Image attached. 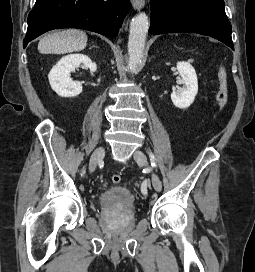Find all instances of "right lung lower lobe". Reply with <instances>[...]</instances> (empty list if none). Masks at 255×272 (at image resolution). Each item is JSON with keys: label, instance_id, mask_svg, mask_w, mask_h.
<instances>
[{"label": "right lung lower lobe", "instance_id": "1", "mask_svg": "<svg viewBox=\"0 0 255 272\" xmlns=\"http://www.w3.org/2000/svg\"><path fill=\"white\" fill-rule=\"evenodd\" d=\"M130 9V0H36L28 16L23 47L41 34L79 28L114 38Z\"/></svg>", "mask_w": 255, "mask_h": 272}]
</instances>
